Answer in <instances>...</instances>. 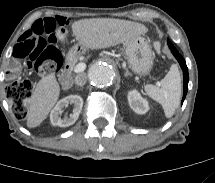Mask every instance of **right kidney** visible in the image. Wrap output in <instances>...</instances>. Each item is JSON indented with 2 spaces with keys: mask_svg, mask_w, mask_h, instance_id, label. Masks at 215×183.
<instances>
[{
  "mask_svg": "<svg viewBox=\"0 0 215 183\" xmlns=\"http://www.w3.org/2000/svg\"><path fill=\"white\" fill-rule=\"evenodd\" d=\"M68 104H73V114L70 117L65 116L61 118V114L63 112V108L68 106ZM83 107V99L81 96L78 95H70L67 96L56 104L53 110L50 113V121L54 126L60 127H68L73 125L79 117Z\"/></svg>",
  "mask_w": 215,
  "mask_h": 183,
  "instance_id": "obj_1",
  "label": "right kidney"
}]
</instances>
